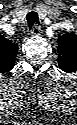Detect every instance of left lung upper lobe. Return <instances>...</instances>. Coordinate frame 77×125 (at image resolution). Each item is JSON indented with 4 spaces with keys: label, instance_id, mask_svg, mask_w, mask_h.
<instances>
[{
    "label": "left lung upper lobe",
    "instance_id": "left-lung-upper-lobe-1",
    "mask_svg": "<svg viewBox=\"0 0 77 125\" xmlns=\"http://www.w3.org/2000/svg\"><path fill=\"white\" fill-rule=\"evenodd\" d=\"M58 65L74 69L77 65V36L66 33L58 38Z\"/></svg>",
    "mask_w": 77,
    "mask_h": 125
}]
</instances>
